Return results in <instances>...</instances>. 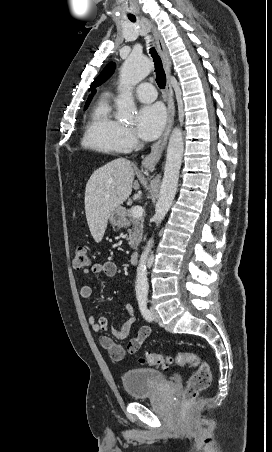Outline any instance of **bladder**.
Instances as JSON below:
<instances>
[{
	"instance_id": "obj_1",
	"label": "bladder",
	"mask_w": 272,
	"mask_h": 452,
	"mask_svg": "<svg viewBox=\"0 0 272 452\" xmlns=\"http://www.w3.org/2000/svg\"><path fill=\"white\" fill-rule=\"evenodd\" d=\"M121 383L133 399L152 395L165 384L164 374L155 369L129 368L122 371Z\"/></svg>"
}]
</instances>
